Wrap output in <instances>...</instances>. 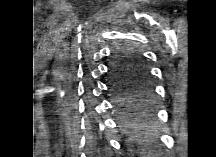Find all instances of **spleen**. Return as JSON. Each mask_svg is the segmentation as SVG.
Returning <instances> with one entry per match:
<instances>
[{"instance_id":"spleen-1","label":"spleen","mask_w":216,"mask_h":157,"mask_svg":"<svg viewBox=\"0 0 216 157\" xmlns=\"http://www.w3.org/2000/svg\"><path fill=\"white\" fill-rule=\"evenodd\" d=\"M135 139L141 145L140 150L143 155H147V157L152 155L150 147L152 143H154L155 139L149 130L143 129V131H139Z\"/></svg>"}]
</instances>
